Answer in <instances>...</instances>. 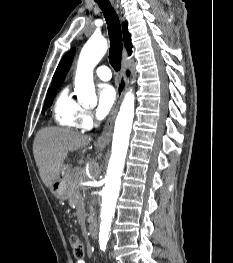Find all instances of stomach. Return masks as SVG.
<instances>
[{"mask_svg":"<svg viewBox=\"0 0 233 263\" xmlns=\"http://www.w3.org/2000/svg\"><path fill=\"white\" fill-rule=\"evenodd\" d=\"M69 174L70 168L64 166L56 180L53 182L50 190L55 197L62 200L67 198L69 192Z\"/></svg>","mask_w":233,"mask_h":263,"instance_id":"0dacf381","label":"stomach"}]
</instances>
